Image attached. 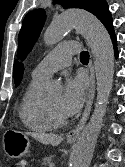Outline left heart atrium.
I'll return each instance as SVG.
<instances>
[{
  "label": "left heart atrium",
  "instance_id": "39dd6f15",
  "mask_svg": "<svg viewBox=\"0 0 125 167\" xmlns=\"http://www.w3.org/2000/svg\"><path fill=\"white\" fill-rule=\"evenodd\" d=\"M87 82L80 75L66 78L63 93L60 99V108L64 115L71 116L77 113L84 104Z\"/></svg>",
  "mask_w": 125,
  "mask_h": 167
}]
</instances>
